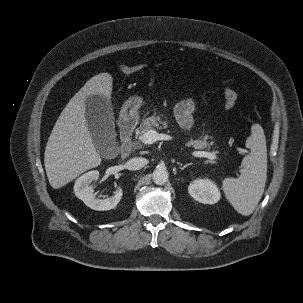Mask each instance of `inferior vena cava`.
I'll use <instances>...</instances> for the list:
<instances>
[{"instance_id":"inferior-vena-cava-1","label":"inferior vena cava","mask_w":303,"mask_h":303,"mask_svg":"<svg viewBox=\"0 0 303 303\" xmlns=\"http://www.w3.org/2000/svg\"><path fill=\"white\" fill-rule=\"evenodd\" d=\"M147 164V160L142 157H135L128 160L125 164L128 170H139Z\"/></svg>"}]
</instances>
